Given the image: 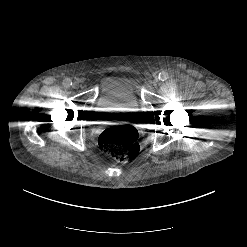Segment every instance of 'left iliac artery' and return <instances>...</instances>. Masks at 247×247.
Segmentation results:
<instances>
[{
	"mask_svg": "<svg viewBox=\"0 0 247 247\" xmlns=\"http://www.w3.org/2000/svg\"><path fill=\"white\" fill-rule=\"evenodd\" d=\"M168 78H169V75L166 72H161L158 75V79L161 81H166Z\"/></svg>",
	"mask_w": 247,
	"mask_h": 247,
	"instance_id": "1",
	"label": "left iliac artery"
}]
</instances>
